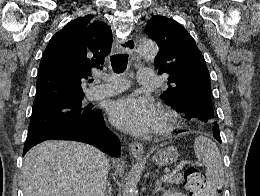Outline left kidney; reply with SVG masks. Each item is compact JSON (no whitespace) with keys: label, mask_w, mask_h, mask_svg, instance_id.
<instances>
[{"label":"left kidney","mask_w":260,"mask_h":196,"mask_svg":"<svg viewBox=\"0 0 260 196\" xmlns=\"http://www.w3.org/2000/svg\"><path fill=\"white\" fill-rule=\"evenodd\" d=\"M163 196H185V194H182V192H172V190H166Z\"/></svg>","instance_id":"left-kidney-1"}]
</instances>
